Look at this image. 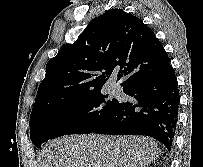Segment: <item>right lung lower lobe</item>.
I'll list each match as a JSON object with an SVG mask.
<instances>
[{
  "mask_svg": "<svg viewBox=\"0 0 203 167\" xmlns=\"http://www.w3.org/2000/svg\"><path fill=\"white\" fill-rule=\"evenodd\" d=\"M133 100L122 101L93 132L109 135H146L170 151L179 107V90L171 65L124 90Z\"/></svg>",
  "mask_w": 203,
  "mask_h": 167,
  "instance_id": "1",
  "label": "right lung lower lobe"
}]
</instances>
